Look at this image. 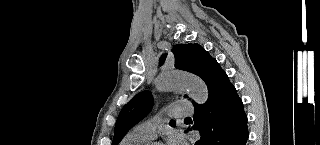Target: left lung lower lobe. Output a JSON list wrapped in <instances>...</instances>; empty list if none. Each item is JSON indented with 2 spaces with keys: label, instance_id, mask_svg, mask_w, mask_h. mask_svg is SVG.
<instances>
[{
  "label": "left lung lower lobe",
  "instance_id": "left-lung-lower-lobe-1",
  "mask_svg": "<svg viewBox=\"0 0 320 145\" xmlns=\"http://www.w3.org/2000/svg\"><path fill=\"white\" fill-rule=\"evenodd\" d=\"M200 77L205 81L209 95L204 104L194 102L192 129L201 135L195 145H245L247 116L228 76L214 59Z\"/></svg>",
  "mask_w": 320,
  "mask_h": 145
}]
</instances>
